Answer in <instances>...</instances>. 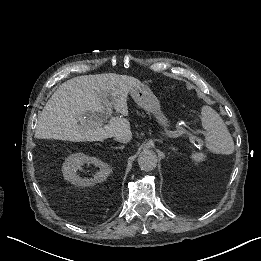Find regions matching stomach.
<instances>
[{
    "instance_id": "stomach-1",
    "label": "stomach",
    "mask_w": 261,
    "mask_h": 261,
    "mask_svg": "<svg viewBox=\"0 0 261 261\" xmlns=\"http://www.w3.org/2000/svg\"><path fill=\"white\" fill-rule=\"evenodd\" d=\"M130 94L134 101L148 113L153 114L162 126H170L167 117L161 111L160 101L148 86L144 84L135 86L131 89Z\"/></svg>"
}]
</instances>
